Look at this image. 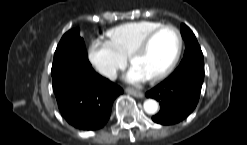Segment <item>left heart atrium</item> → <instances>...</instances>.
<instances>
[{"label": "left heart atrium", "instance_id": "39dd6f15", "mask_svg": "<svg viewBox=\"0 0 247 145\" xmlns=\"http://www.w3.org/2000/svg\"><path fill=\"white\" fill-rule=\"evenodd\" d=\"M125 79L130 83H140L148 80L149 77L137 67L132 66L126 74Z\"/></svg>", "mask_w": 247, "mask_h": 145}]
</instances>
